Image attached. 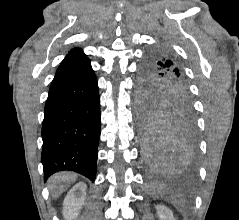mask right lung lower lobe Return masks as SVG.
I'll return each mask as SVG.
<instances>
[{"label": "right lung lower lobe", "instance_id": "obj_1", "mask_svg": "<svg viewBox=\"0 0 239 220\" xmlns=\"http://www.w3.org/2000/svg\"><path fill=\"white\" fill-rule=\"evenodd\" d=\"M100 137L97 79L86 60L56 73L42 126L44 179L70 170L95 179Z\"/></svg>", "mask_w": 239, "mask_h": 220}]
</instances>
